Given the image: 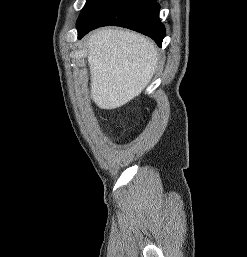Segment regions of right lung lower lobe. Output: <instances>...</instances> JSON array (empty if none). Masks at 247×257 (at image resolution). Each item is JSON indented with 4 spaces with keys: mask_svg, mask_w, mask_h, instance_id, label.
Here are the masks:
<instances>
[{
    "mask_svg": "<svg viewBox=\"0 0 247 257\" xmlns=\"http://www.w3.org/2000/svg\"><path fill=\"white\" fill-rule=\"evenodd\" d=\"M155 0H96L77 22L78 38L101 26H121L151 37L159 46L165 27L159 19Z\"/></svg>",
    "mask_w": 247,
    "mask_h": 257,
    "instance_id": "1",
    "label": "right lung lower lobe"
}]
</instances>
